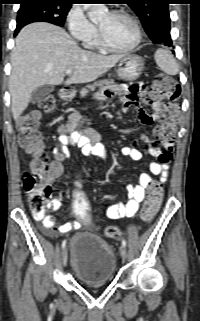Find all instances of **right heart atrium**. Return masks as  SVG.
<instances>
[{"label": "right heart atrium", "instance_id": "1", "mask_svg": "<svg viewBox=\"0 0 200 321\" xmlns=\"http://www.w3.org/2000/svg\"><path fill=\"white\" fill-rule=\"evenodd\" d=\"M66 22L71 36L77 40L84 41L96 33V27L86 17L79 5L70 8Z\"/></svg>", "mask_w": 200, "mask_h": 321}]
</instances>
